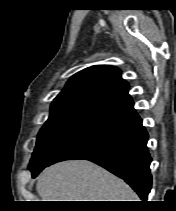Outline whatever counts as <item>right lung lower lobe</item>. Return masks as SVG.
I'll return each instance as SVG.
<instances>
[{"label": "right lung lower lobe", "mask_w": 176, "mask_h": 211, "mask_svg": "<svg viewBox=\"0 0 176 211\" xmlns=\"http://www.w3.org/2000/svg\"><path fill=\"white\" fill-rule=\"evenodd\" d=\"M147 141L141 118L135 110L129 111L98 123L32 175L36 177L43 168L59 161L86 159L122 178L142 201H147L152 184Z\"/></svg>", "instance_id": "98d812e1"}]
</instances>
